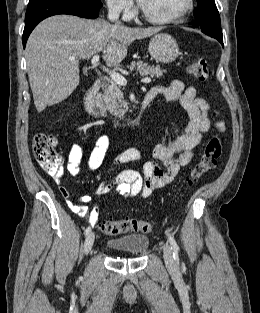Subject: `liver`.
Instances as JSON below:
<instances>
[{
    "mask_svg": "<svg viewBox=\"0 0 260 313\" xmlns=\"http://www.w3.org/2000/svg\"><path fill=\"white\" fill-rule=\"evenodd\" d=\"M160 30V27L130 28L72 15L43 20L31 33L25 49L37 111L65 100L76 89L80 81L79 60L103 52L108 65H118L126 57L128 45ZM72 57L75 59L71 60Z\"/></svg>",
    "mask_w": 260,
    "mask_h": 313,
    "instance_id": "1",
    "label": "liver"
}]
</instances>
